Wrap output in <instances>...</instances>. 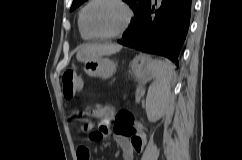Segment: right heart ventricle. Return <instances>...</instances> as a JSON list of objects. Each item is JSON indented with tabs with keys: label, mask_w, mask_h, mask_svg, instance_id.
Segmentation results:
<instances>
[{
	"label": "right heart ventricle",
	"mask_w": 242,
	"mask_h": 160,
	"mask_svg": "<svg viewBox=\"0 0 242 160\" xmlns=\"http://www.w3.org/2000/svg\"><path fill=\"white\" fill-rule=\"evenodd\" d=\"M78 30H79V33H80V36L83 40H89L91 39L85 32L84 30L82 29L81 27V24H80V17L78 19Z\"/></svg>",
	"instance_id": "obj_1"
}]
</instances>
